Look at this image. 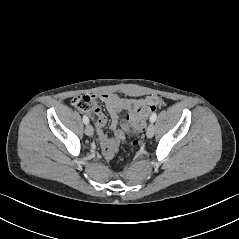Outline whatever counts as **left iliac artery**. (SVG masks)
<instances>
[{
  "mask_svg": "<svg viewBox=\"0 0 239 239\" xmlns=\"http://www.w3.org/2000/svg\"><path fill=\"white\" fill-rule=\"evenodd\" d=\"M156 118H157V114L156 113H153L150 117V122H155L156 121Z\"/></svg>",
  "mask_w": 239,
  "mask_h": 239,
  "instance_id": "obj_1",
  "label": "left iliac artery"
}]
</instances>
